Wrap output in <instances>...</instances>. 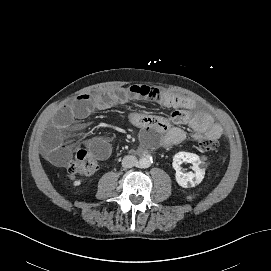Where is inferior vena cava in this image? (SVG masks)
<instances>
[{"label":"inferior vena cava","instance_id":"602c4592","mask_svg":"<svg viewBox=\"0 0 271 271\" xmlns=\"http://www.w3.org/2000/svg\"><path fill=\"white\" fill-rule=\"evenodd\" d=\"M138 165V160L135 156L127 155L122 160V166L124 168H132Z\"/></svg>","mask_w":271,"mask_h":271}]
</instances>
